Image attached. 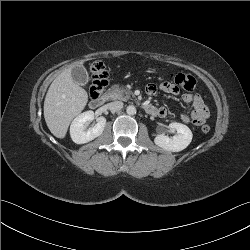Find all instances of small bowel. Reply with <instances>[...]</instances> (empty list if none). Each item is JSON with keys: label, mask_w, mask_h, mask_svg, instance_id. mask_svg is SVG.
<instances>
[{"label": "small bowel", "mask_w": 250, "mask_h": 250, "mask_svg": "<svg viewBox=\"0 0 250 250\" xmlns=\"http://www.w3.org/2000/svg\"><path fill=\"white\" fill-rule=\"evenodd\" d=\"M159 88L171 94H177L180 90V87L177 84L172 83H163ZM156 90L157 87L154 84H149L146 87V91L148 94H154ZM182 100L186 104H190L193 106V110L189 114H183L181 116L182 121L185 123L190 122L196 126L204 124L206 119L208 118L209 112L203 99L197 94L184 93L182 95ZM156 110V116L165 117L167 115V110L164 107H158L156 108Z\"/></svg>", "instance_id": "c3829d8e"}]
</instances>
